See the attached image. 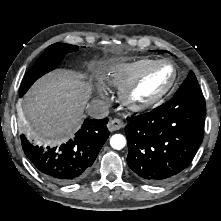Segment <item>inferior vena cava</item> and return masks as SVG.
<instances>
[{
    "instance_id": "1",
    "label": "inferior vena cava",
    "mask_w": 221,
    "mask_h": 221,
    "mask_svg": "<svg viewBox=\"0 0 221 221\" xmlns=\"http://www.w3.org/2000/svg\"><path fill=\"white\" fill-rule=\"evenodd\" d=\"M88 115L95 119L105 118L109 114V104L100 99H94L87 107Z\"/></svg>"
}]
</instances>
